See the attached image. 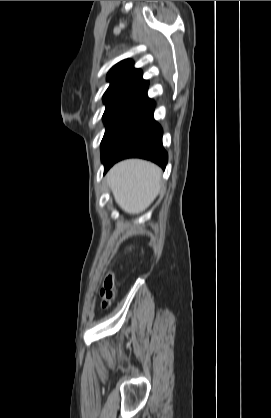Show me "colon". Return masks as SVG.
Segmentation results:
<instances>
[{"label":"colon","instance_id":"1","mask_svg":"<svg viewBox=\"0 0 271 418\" xmlns=\"http://www.w3.org/2000/svg\"><path fill=\"white\" fill-rule=\"evenodd\" d=\"M113 296V277L112 275H106L102 288L100 290V303L103 308L108 307L110 300Z\"/></svg>","mask_w":271,"mask_h":418}]
</instances>
